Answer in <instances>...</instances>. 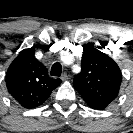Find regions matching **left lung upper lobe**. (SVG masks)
I'll return each mask as SVG.
<instances>
[{"mask_svg": "<svg viewBox=\"0 0 133 133\" xmlns=\"http://www.w3.org/2000/svg\"><path fill=\"white\" fill-rule=\"evenodd\" d=\"M81 72L74 87L93 109H105L118 95L122 74L116 62L93 45L83 47Z\"/></svg>", "mask_w": 133, "mask_h": 133, "instance_id": "1", "label": "left lung upper lobe"}]
</instances>
